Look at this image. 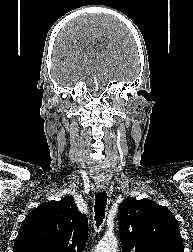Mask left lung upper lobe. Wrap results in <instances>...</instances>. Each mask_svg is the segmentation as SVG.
<instances>
[{
  "mask_svg": "<svg viewBox=\"0 0 193 252\" xmlns=\"http://www.w3.org/2000/svg\"><path fill=\"white\" fill-rule=\"evenodd\" d=\"M123 252H184L175 216L149 199H125L118 207Z\"/></svg>",
  "mask_w": 193,
  "mask_h": 252,
  "instance_id": "obj_1",
  "label": "left lung upper lobe"
}]
</instances>
